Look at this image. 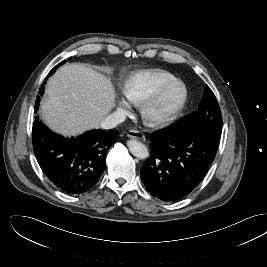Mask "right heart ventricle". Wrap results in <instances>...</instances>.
I'll list each match as a JSON object with an SVG mask.
<instances>
[{"instance_id":"obj_1","label":"right heart ventricle","mask_w":267,"mask_h":267,"mask_svg":"<svg viewBox=\"0 0 267 267\" xmlns=\"http://www.w3.org/2000/svg\"><path fill=\"white\" fill-rule=\"evenodd\" d=\"M176 81L177 78L167 71L141 70L126 77L123 91L131 103L140 104Z\"/></svg>"}]
</instances>
